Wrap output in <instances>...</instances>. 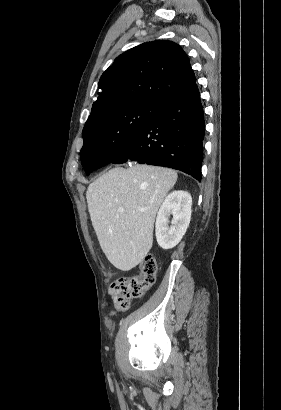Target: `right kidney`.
<instances>
[{
    "label": "right kidney",
    "instance_id": "obj_1",
    "mask_svg": "<svg viewBox=\"0 0 281 410\" xmlns=\"http://www.w3.org/2000/svg\"><path fill=\"white\" fill-rule=\"evenodd\" d=\"M192 198L187 191H173L162 203L156 218L155 235L163 249L175 247L185 234L191 219ZM173 215L169 227V217Z\"/></svg>",
    "mask_w": 281,
    "mask_h": 410
}]
</instances>
